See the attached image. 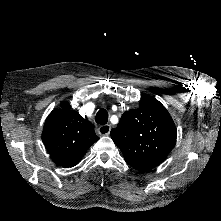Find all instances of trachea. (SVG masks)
<instances>
[{"label":"trachea","mask_w":221,"mask_h":221,"mask_svg":"<svg viewBox=\"0 0 221 221\" xmlns=\"http://www.w3.org/2000/svg\"><path fill=\"white\" fill-rule=\"evenodd\" d=\"M96 122L99 125H105L108 122V113L105 109H100L96 114Z\"/></svg>","instance_id":"obj_1"}]
</instances>
